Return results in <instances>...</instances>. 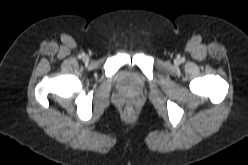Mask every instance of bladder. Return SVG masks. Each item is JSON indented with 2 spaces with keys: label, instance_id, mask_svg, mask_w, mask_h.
<instances>
[{
  "label": "bladder",
  "instance_id": "obj_1",
  "mask_svg": "<svg viewBox=\"0 0 248 165\" xmlns=\"http://www.w3.org/2000/svg\"><path fill=\"white\" fill-rule=\"evenodd\" d=\"M119 88L128 95H138L144 90V79L135 69H123L117 76Z\"/></svg>",
  "mask_w": 248,
  "mask_h": 165
}]
</instances>
